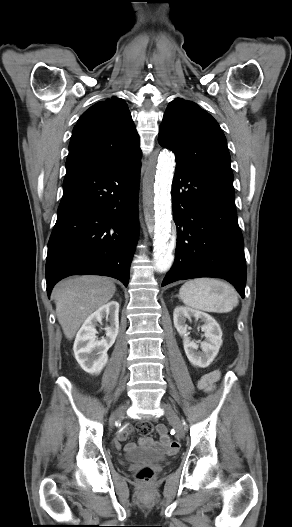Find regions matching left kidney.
<instances>
[{
	"instance_id": "left-kidney-1",
	"label": "left kidney",
	"mask_w": 292,
	"mask_h": 527,
	"mask_svg": "<svg viewBox=\"0 0 292 527\" xmlns=\"http://www.w3.org/2000/svg\"><path fill=\"white\" fill-rule=\"evenodd\" d=\"M192 317L204 322V325L201 326L205 335V340L200 345L202 352H197L199 345L188 337L186 320ZM173 321L177 332L183 337L184 350L190 363L196 367H208L217 356L222 345V330L216 320L207 313L179 306L173 312Z\"/></svg>"
}]
</instances>
